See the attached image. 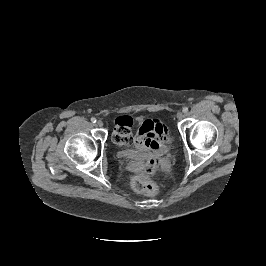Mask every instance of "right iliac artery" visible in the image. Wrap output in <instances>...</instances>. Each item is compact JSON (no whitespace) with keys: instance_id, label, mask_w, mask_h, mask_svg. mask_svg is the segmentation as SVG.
I'll list each match as a JSON object with an SVG mask.
<instances>
[{"instance_id":"right-iliac-artery-1","label":"right iliac artery","mask_w":266,"mask_h":266,"mask_svg":"<svg viewBox=\"0 0 266 266\" xmlns=\"http://www.w3.org/2000/svg\"><path fill=\"white\" fill-rule=\"evenodd\" d=\"M91 122H92V123H96V118H94V117L91 118Z\"/></svg>"}]
</instances>
